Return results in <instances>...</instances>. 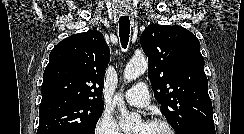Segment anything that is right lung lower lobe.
I'll return each mask as SVG.
<instances>
[{"instance_id": "obj_1", "label": "right lung lower lobe", "mask_w": 244, "mask_h": 134, "mask_svg": "<svg viewBox=\"0 0 244 134\" xmlns=\"http://www.w3.org/2000/svg\"><path fill=\"white\" fill-rule=\"evenodd\" d=\"M61 134H73V133L64 132V133H61Z\"/></svg>"}]
</instances>
